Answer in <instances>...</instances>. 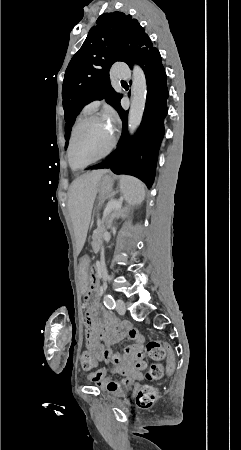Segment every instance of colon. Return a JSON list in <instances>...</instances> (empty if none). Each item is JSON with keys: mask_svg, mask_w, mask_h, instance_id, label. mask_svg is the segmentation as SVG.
I'll return each mask as SVG.
<instances>
[{"mask_svg": "<svg viewBox=\"0 0 241 450\" xmlns=\"http://www.w3.org/2000/svg\"><path fill=\"white\" fill-rule=\"evenodd\" d=\"M146 354L155 361L162 360L165 355L167 356V360L164 363V368L166 369V373L171 375L173 373V366L176 365L177 360L176 355L177 352L172 348L169 342H164L163 345L157 340H150L147 342L145 346ZM81 368L82 371H95L96 368V359L92 357L91 350H82L81 351ZM162 366L160 364H151L147 366L145 369V378L148 380L159 379L162 375ZM158 398V390L153 387H142L136 396V405L139 409H151L155 404Z\"/></svg>", "mask_w": 241, "mask_h": 450, "instance_id": "obj_1", "label": "colon"}]
</instances>
